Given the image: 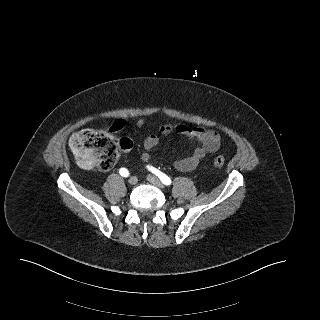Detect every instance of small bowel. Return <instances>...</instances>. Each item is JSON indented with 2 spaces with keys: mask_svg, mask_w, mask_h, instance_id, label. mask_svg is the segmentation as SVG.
<instances>
[{
  "mask_svg": "<svg viewBox=\"0 0 320 320\" xmlns=\"http://www.w3.org/2000/svg\"><path fill=\"white\" fill-rule=\"evenodd\" d=\"M117 131L122 128L123 122L115 123ZM145 124L143 119L136 121V126L142 128ZM178 132L187 136L190 139L198 141L199 146L194 150L193 154L187 157L180 158L174 162V167L181 172H189L197 169L201 161L209 154L216 152L220 147V135L211 129L195 127L187 124H164L160 127L162 135H168L172 132ZM159 144V137L156 134H150L143 141L144 152L141 156L143 163L150 160L151 152Z\"/></svg>",
  "mask_w": 320,
  "mask_h": 320,
  "instance_id": "obj_1",
  "label": "small bowel"
}]
</instances>
